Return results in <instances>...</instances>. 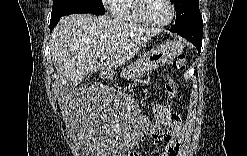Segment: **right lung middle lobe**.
<instances>
[{
  "mask_svg": "<svg viewBox=\"0 0 247 156\" xmlns=\"http://www.w3.org/2000/svg\"><path fill=\"white\" fill-rule=\"evenodd\" d=\"M74 13L105 14L102 0H53L51 21Z\"/></svg>",
  "mask_w": 247,
  "mask_h": 156,
  "instance_id": "obj_1",
  "label": "right lung middle lobe"
}]
</instances>
